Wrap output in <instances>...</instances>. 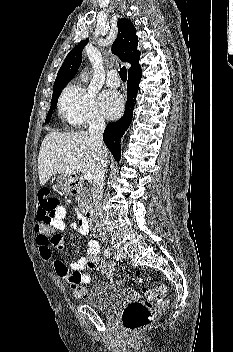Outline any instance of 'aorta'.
Returning a JSON list of instances; mask_svg holds the SVG:
<instances>
[{
  "mask_svg": "<svg viewBox=\"0 0 233 352\" xmlns=\"http://www.w3.org/2000/svg\"><path fill=\"white\" fill-rule=\"evenodd\" d=\"M80 79H81L83 82H87V80H88V75H87V72H86L85 70L80 74Z\"/></svg>",
  "mask_w": 233,
  "mask_h": 352,
  "instance_id": "aorta-1",
  "label": "aorta"
}]
</instances>
